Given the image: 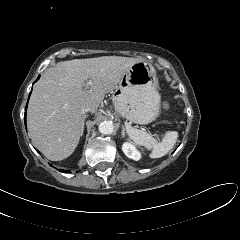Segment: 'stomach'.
<instances>
[{
	"mask_svg": "<svg viewBox=\"0 0 240 240\" xmlns=\"http://www.w3.org/2000/svg\"><path fill=\"white\" fill-rule=\"evenodd\" d=\"M115 110L137 124L154 121L160 111V94L156 71L151 64L138 61L122 76L112 92Z\"/></svg>",
	"mask_w": 240,
	"mask_h": 240,
	"instance_id": "obj_1",
	"label": "stomach"
}]
</instances>
